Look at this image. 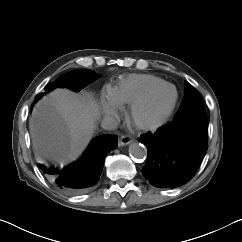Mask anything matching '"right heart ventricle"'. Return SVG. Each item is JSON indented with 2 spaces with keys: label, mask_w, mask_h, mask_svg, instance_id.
Segmentation results:
<instances>
[{
  "label": "right heart ventricle",
  "mask_w": 242,
  "mask_h": 242,
  "mask_svg": "<svg viewBox=\"0 0 242 242\" xmlns=\"http://www.w3.org/2000/svg\"><path fill=\"white\" fill-rule=\"evenodd\" d=\"M165 83L152 74H131L122 77L112 88V95L121 105H131L151 88Z\"/></svg>",
  "instance_id": "right-heart-ventricle-1"
}]
</instances>
